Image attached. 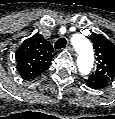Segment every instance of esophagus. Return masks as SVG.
<instances>
[{
    "instance_id": "34e87169",
    "label": "esophagus",
    "mask_w": 115,
    "mask_h": 119,
    "mask_svg": "<svg viewBox=\"0 0 115 119\" xmlns=\"http://www.w3.org/2000/svg\"><path fill=\"white\" fill-rule=\"evenodd\" d=\"M67 50L70 51L73 55H76V52H75L74 48L71 45H69L67 47Z\"/></svg>"
}]
</instances>
